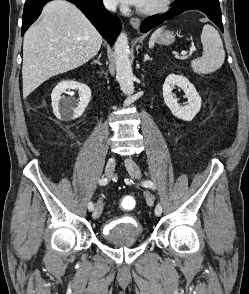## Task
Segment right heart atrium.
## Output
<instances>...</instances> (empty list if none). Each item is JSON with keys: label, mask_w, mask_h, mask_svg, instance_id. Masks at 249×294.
I'll return each mask as SVG.
<instances>
[{"label": "right heart atrium", "mask_w": 249, "mask_h": 294, "mask_svg": "<svg viewBox=\"0 0 249 294\" xmlns=\"http://www.w3.org/2000/svg\"><path fill=\"white\" fill-rule=\"evenodd\" d=\"M106 8L112 10L116 7V0H103Z\"/></svg>", "instance_id": "1"}]
</instances>
